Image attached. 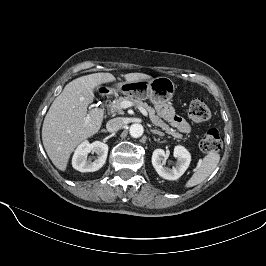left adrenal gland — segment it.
<instances>
[{
    "instance_id": "a2214340",
    "label": "left adrenal gland",
    "mask_w": 266,
    "mask_h": 266,
    "mask_svg": "<svg viewBox=\"0 0 266 266\" xmlns=\"http://www.w3.org/2000/svg\"><path fill=\"white\" fill-rule=\"evenodd\" d=\"M150 131L153 133V134H158L160 136H163L164 133L159 131V130H156V129H153V128H150Z\"/></svg>"
}]
</instances>
